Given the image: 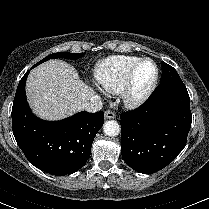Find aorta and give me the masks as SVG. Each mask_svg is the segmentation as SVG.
Returning <instances> with one entry per match:
<instances>
[{
  "mask_svg": "<svg viewBox=\"0 0 209 209\" xmlns=\"http://www.w3.org/2000/svg\"><path fill=\"white\" fill-rule=\"evenodd\" d=\"M104 133L108 136H118L120 133V125L115 120H109L105 122L103 126Z\"/></svg>",
  "mask_w": 209,
  "mask_h": 209,
  "instance_id": "762f6f07",
  "label": "aorta"
}]
</instances>
